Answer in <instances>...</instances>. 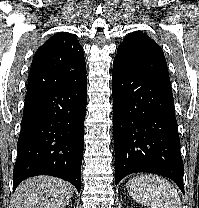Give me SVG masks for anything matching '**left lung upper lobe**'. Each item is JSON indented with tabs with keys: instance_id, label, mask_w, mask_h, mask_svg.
I'll use <instances>...</instances> for the list:
<instances>
[{
	"instance_id": "left-lung-upper-lobe-1",
	"label": "left lung upper lobe",
	"mask_w": 199,
	"mask_h": 208,
	"mask_svg": "<svg viewBox=\"0 0 199 208\" xmlns=\"http://www.w3.org/2000/svg\"><path fill=\"white\" fill-rule=\"evenodd\" d=\"M116 60L144 75L170 84L162 49L149 36L139 31L130 33L117 48Z\"/></svg>"
}]
</instances>
